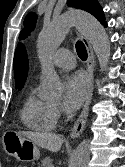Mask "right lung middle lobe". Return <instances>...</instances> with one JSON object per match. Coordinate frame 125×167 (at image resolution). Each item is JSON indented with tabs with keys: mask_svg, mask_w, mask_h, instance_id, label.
I'll return each instance as SVG.
<instances>
[{
	"mask_svg": "<svg viewBox=\"0 0 125 167\" xmlns=\"http://www.w3.org/2000/svg\"><path fill=\"white\" fill-rule=\"evenodd\" d=\"M22 87H16V89L21 90Z\"/></svg>",
	"mask_w": 125,
	"mask_h": 167,
	"instance_id": "obj_1",
	"label": "right lung middle lobe"
}]
</instances>
